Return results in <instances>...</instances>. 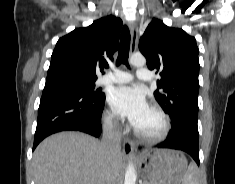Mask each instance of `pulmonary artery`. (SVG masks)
<instances>
[{
	"label": "pulmonary artery",
	"mask_w": 235,
	"mask_h": 184,
	"mask_svg": "<svg viewBox=\"0 0 235 184\" xmlns=\"http://www.w3.org/2000/svg\"><path fill=\"white\" fill-rule=\"evenodd\" d=\"M150 69H139L137 72V76L141 79H149L150 78ZM134 79V75L129 72L123 71H115L109 72L102 76L98 84L99 85H111V84H125L130 83Z\"/></svg>",
	"instance_id": "obj_1"
}]
</instances>
